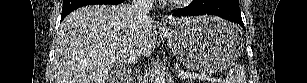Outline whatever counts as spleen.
I'll return each mask as SVG.
<instances>
[{"instance_id": "1", "label": "spleen", "mask_w": 307, "mask_h": 83, "mask_svg": "<svg viewBox=\"0 0 307 83\" xmlns=\"http://www.w3.org/2000/svg\"><path fill=\"white\" fill-rule=\"evenodd\" d=\"M227 83H247L245 68L241 64L235 65L227 73Z\"/></svg>"}]
</instances>
